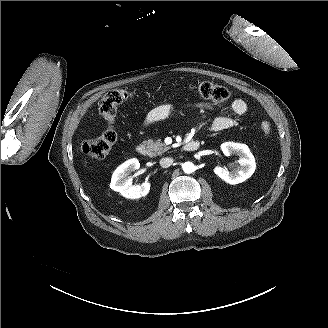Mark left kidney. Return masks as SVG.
Returning a JSON list of instances; mask_svg holds the SVG:
<instances>
[{"label": "left kidney", "instance_id": "5707ae66", "mask_svg": "<svg viewBox=\"0 0 328 328\" xmlns=\"http://www.w3.org/2000/svg\"><path fill=\"white\" fill-rule=\"evenodd\" d=\"M221 150L225 156H231L233 154L239 155V159L237 161L239 168L229 172L226 167L216 166L213 169V172L219 178L230 185H236L245 182L253 175L256 169V164L247 145L234 142H226L221 145Z\"/></svg>", "mask_w": 328, "mask_h": 328}]
</instances>
